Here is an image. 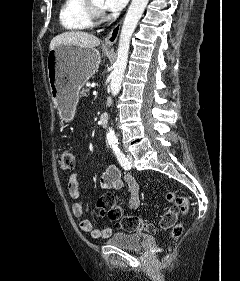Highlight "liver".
Here are the masks:
<instances>
[{
    "mask_svg": "<svg viewBox=\"0 0 240 281\" xmlns=\"http://www.w3.org/2000/svg\"><path fill=\"white\" fill-rule=\"evenodd\" d=\"M100 39L92 34L83 31H69L55 36L50 43L49 49L52 50L60 44H70L85 48L97 47Z\"/></svg>",
    "mask_w": 240,
    "mask_h": 281,
    "instance_id": "obj_1",
    "label": "liver"
}]
</instances>
